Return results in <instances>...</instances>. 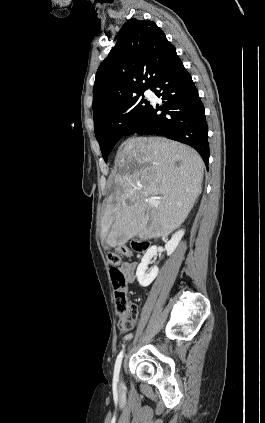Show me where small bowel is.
<instances>
[{
  "instance_id": "obj_1",
  "label": "small bowel",
  "mask_w": 265,
  "mask_h": 423,
  "mask_svg": "<svg viewBox=\"0 0 265 423\" xmlns=\"http://www.w3.org/2000/svg\"><path fill=\"white\" fill-rule=\"evenodd\" d=\"M135 269V262H125L121 265L120 270L122 271L128 283H133L135 281ZM130 337L131 335H126V339H129Z\"/></svg>"
}]
</instances>
